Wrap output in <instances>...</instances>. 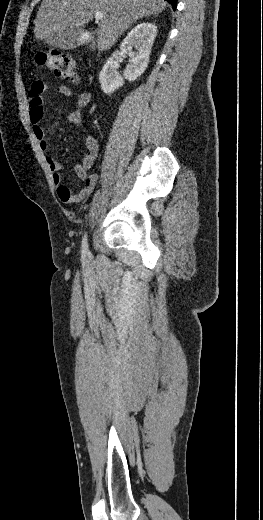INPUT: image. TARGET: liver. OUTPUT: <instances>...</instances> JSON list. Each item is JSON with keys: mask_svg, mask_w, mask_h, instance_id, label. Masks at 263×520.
Returning <instances> with one entry per match:
<instances>
[{"mask_svg": "<svg viewBox=\"0 0 263 520\" xmlns=\"http://www.w3.org/2000/svg\"><path fill=\"white\" fill-rule=\"evenodd\" d=\"M166 5L164 0H42L34 35L49 44L54 34L72 33L91 21L96 12H102L104 18L94 32L88 33L86 42H91V50L103 51L137 20L161 13Z\"/></svg>", "mask_w": 263, "mask_h": 520, "instance_id": "1", "label": "liver"}]
</instances>
